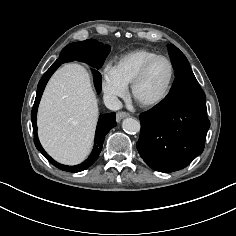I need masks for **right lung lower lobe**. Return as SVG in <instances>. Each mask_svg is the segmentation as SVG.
<instances>
[{
    "mask_svg": "<svg viewBox=\"0 0 236 236\" xmlns=\"http://www.w3.org/2000/svg\"><path fill=\"white\" fill-rule=\"evenodd\" d=\"M109 52L110 46L103 45L102 43H99L97 40L94 39L71 43L61 51L59 59H57L52 64V66L45 72V74L38 83L36 99L31 113V120L34 131V143L36 148L47 158V160L60 170L67 172H80L90 167L96 161L102 150L105 135L117 125L115 120L116 114L112 112L109 114L100 115L96 129L94 148L86 161L76 166H67L59 164L45 152L39 142L37 135L36 115L44 88L51 75L57 70V68L61 64L77 60L81 62H86L89 65L95 67L96 69H99L103 65L104 60ZM93 71L95 74V87L97 89V92L99 93L101 90V74L97 70Z\"/></svg>",
    "mask_w": 236,
    "mask_h": 236,
    "instance_id": "98d812e1",
    "label": "right lung lower lobe"
}]
</instances>
